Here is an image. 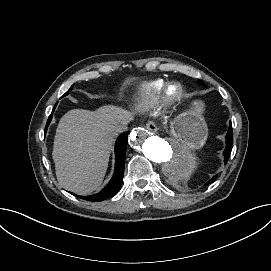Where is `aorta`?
<instances>
[{
	"instance_id": "1",
	"label": "aorta",
	"mask_w": 271,
	"mask_h": 271,
	"mask_svg": "<svg viewBox=\"0 0 271 271\" xmlns=\"http://www.w3.org/2000/svg\"><path fill=\"white\" fill-rule=\"evenodd\" d=\"M129 143L147 159L160 164L163 173L170 179H185L197 166L194 148L181 138L165 140L150 135L148 130L138 127L130 133Z\"/></svg>"
}]
</instances>
